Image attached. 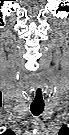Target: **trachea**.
Here are the masks:
<instances>
[{
    "mask_svg": "<svg viewBox=\"0 0 69 135\" xmlns=\"http://www.w3.org/2000/svg\"><path fill=\"white\" fill-rule=\"evenodd\" d=\"M44 110V103H32L31 104V112L35 115L38 116L40 115Z\"/></svg>",
    "mask_w": 69,
    "mask_h": 135,
    "instance_id": "obj_1",
    "label": "trachea"
}]
</instances>
